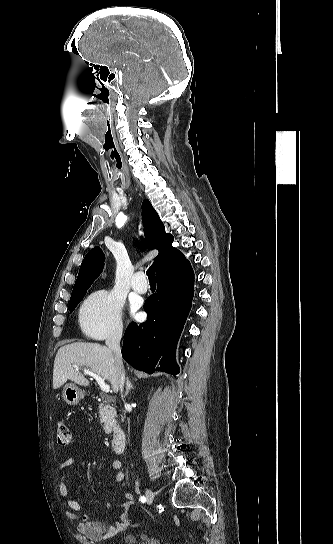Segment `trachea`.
Masks as SVG:
<instances>
[{
  "label": "trachea",
  "mask_w": 333,
  "mask_h": 544,
  "mask_svg": "<svg viewBox=\"0 0 333 544\" xmlns=\"http://www.w3.org/2000/svg\"><path fill=\"white\" fill-rule=\"evenodd\" d=\"M147 276L150 282H156L154 264L148 268Z\"/></svg>",
  "instance_id": "trachea-1"
}]
</instances>
